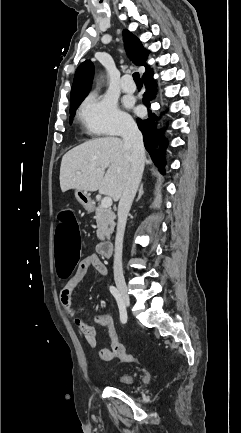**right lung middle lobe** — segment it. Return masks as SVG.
Segmentation results:
<instances>
[{
	"mask_svg": "<svg viewBox=\"0 0 241 433\" xmlns=\"http://www.w3.org/2000/svg\"><path fill=\"white\" fill-rule=\"evenodd\" d=\"M82 101L78 102L74 107L70 108V123L72 122V119L75 115V111L78 108V106L81 104Z\"/></svg>",
	"mask_w": 241,
	"mask_h": 433,
	"instance_id": "obj_1",
	"label": "right lung middle lobe"
}]
</instances>
